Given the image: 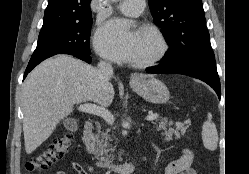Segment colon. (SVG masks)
<instances>
[{
    "mask_svg": "<svg viewBox=\"0 0 249 174\" xmlns=\"http://www.w3.org/2000/svg\"><path fill=\"white\" fill-rule=\"evenodd\" d=\"M74 141L73 133L61 134L51 145L35 154L26 164L28 172H40L60 159L71 147Z\"/></svg>",
    "mask_w": 249,
    "mask_h": 174,
    "instance_id": "5ec220e1",
    "label": "colon"
}]
</instances>
